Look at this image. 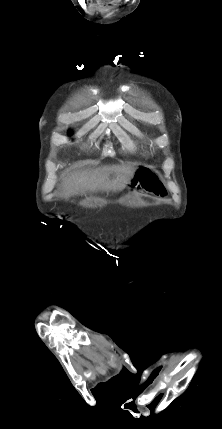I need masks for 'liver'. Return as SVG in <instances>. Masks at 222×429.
Returning a JSON list of instances; mask_svg holds the SVG:
<instances>
[{
    "label": "liver",
    "instance_id": "obj_1",
    "mask_svg": "<svg viewBox=\"0 0 222 429\" xmlns=\"http://www.w3.org/2000/svg\"><path fill=\"white\" fill-rule=\"evenodd\" d=\"M135 170L133 166L122 164L66 174L62 182L63 196L68 197L79 191H121L130 182Z\"/></svg>",
    "mask_w": 222,
    "mask_h": 429
}]
</instances>
